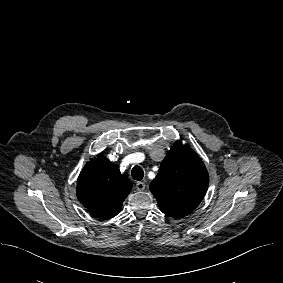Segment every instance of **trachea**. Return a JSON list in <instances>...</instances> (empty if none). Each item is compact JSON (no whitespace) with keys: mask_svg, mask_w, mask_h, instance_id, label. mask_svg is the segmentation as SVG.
I'll return each mask as SVG.
<instances>
[{"mask_svg":"<svg viewBox=\"0 0 283 283\" xmlns=\"http://www.w3.org/2000/svg\"><path fill=\"white\" fill-rule=\"evenodd\" d=\"M131 175L134 180L140 181L144 177V171L140 166H134L131 171Z\"/></svg>","mask_w":283,"mask_h":283,"instance_id":"1","label":"trachea"}]
</instances>
